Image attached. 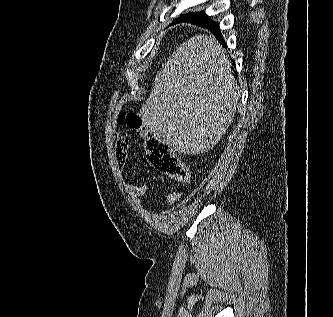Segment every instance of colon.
I'll return each mask as SVG.
<instances>
[{"label":"colon","mask_w":333,"mask_h":317,"mask_svg":"<svg viewBox=\"0 0 333 317\" xmlns=\"http://www.w3.org/2000/svg\"><path fill=\"white\" fill-rule=\"evenodd\" d=\"M119 123L142 132L147 159L155 169L180 183H187L190 180L187 165L158 135L145 127L138 114L124 112L119 118Z\"/></svg>","instance_id":"colon-1"}]
</instances>
